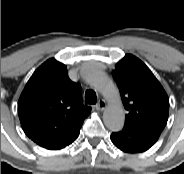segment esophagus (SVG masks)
<instances>
[{"label":"esophagus","instance_id":"34e87169","mask_svg":"<svg viewBox=\"0 0 184 174\" xmlns=\"http://www.w3.org/2000/svg\"><path fill=\"white\" fill-rule=\"evenodd\" d=\"M105 108H106V102L100 99L96 104V109L101 111V110H104Z\"/></svg>","mask_w":184,"mask_h":174}]
</instances>
